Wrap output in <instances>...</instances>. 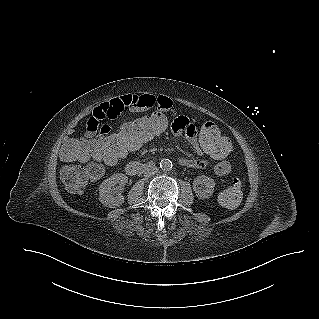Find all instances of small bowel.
Masks as SVG:
<instances>
[{"label":"small bowel","instance_id":"obj_1","mask_svg":"<svg viewBox=\"0 0 319 319\" xmlns=\"http://www.w3.org/2000/svg\"><path fill=\"white\" fill-rule=\"evenodd\" d=\"M173 107V101L165 96L154 95H128L119 98L102 99L101 103L93 110L85 124L87 137L93 139L101 138L110 132L112 122L123 116L126 109L145 110L150 108H159L169 110ZM169 129L174 130L175 135H182L184 141H189L192 152L197 158L182 157V165L190 168L213 169L218 177H225L230 172L229 164L224 160H217L210 163L204 155H209L199 141L196 129V122L192 121L191 115H173L169 122ZM195 134V135H194ZM191 135H194L191 137ZM141 148V147H140Z\"/></svg>","mask_w":319,"mask_h":319}]
</instances>
